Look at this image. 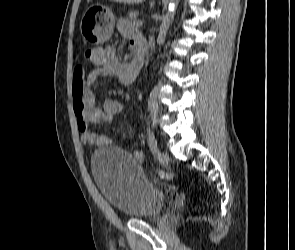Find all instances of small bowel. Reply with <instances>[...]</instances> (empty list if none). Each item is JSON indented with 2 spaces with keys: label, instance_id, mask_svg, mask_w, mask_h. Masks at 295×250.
Returning a JSON list of instances; mask_svg holds the SVG:
<instances>
[{
  "label": "small bowel",
  "instance_id": "obj_1",
  "mask_svg": "<svg viewBox=\"0 0 295 250\" xmlns=\"http://www.w3.org/2000/svg\"><path fill=\"white\" fill-rule=\"evenodd\" d=\"M120 34L130 39V45L134 50L142 48V41L133 34L132 28L125 20L117 24ZM90 61L95 68L85 76L84 68L78 65L73 73V109L77 119V126L81 132L82 143L86 147H104L112 143L108 135H98L90 129L91 123H110L119 114L123 105L114 99H105L102 107L95 105V95L92 86L95 81L103 77H117L122 84H132L140 71L135 59L126 62L117 57L116 49L112 46L95 48L92 50ZM136 158H142L138 153Z\"/></svg>",
  "mask_w": 295,
  "mask_h": 250
}]
</instances>
